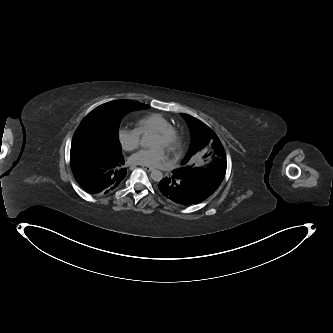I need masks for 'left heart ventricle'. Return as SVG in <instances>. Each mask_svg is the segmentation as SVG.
I'll return each mask as SVG.
<instances>
[{
	"instance_id": "1",
	"label": "left heart ventricle",
	"mask_w": 333,
	"mask_h": 333,
	"mask_svg": "<svg viewBox=\"0 0 333 333\" xmlns=\"http://www.w3.org/2000/svg\"><path fill=\"white\" fill-rule=\"evenodd\" d=\"M150 146H152L153 148H161L163 150L166 149L164 138L161 135L156 134V133L153 135V137L150 141Z\"/></svg>"
}]
</instances>
